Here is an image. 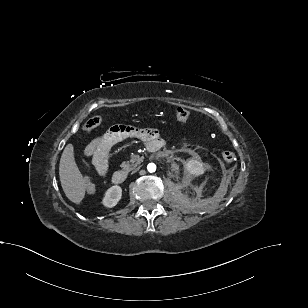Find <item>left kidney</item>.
I'll list each match as a JSON object with an SVG mask.
<instances>
[{
    "label": "left kidney",
    "instance_id": "obj_1",
    "mask_svg": "<svg viewBox=\"0 0 308 308\" xmlns=\"http://www.w3.org/2000/svg\"><path fill=\"white\" fill-rule=\"evenodd\" d=\"M184 168H185V171L191 176L197 177L204 173L203 164L200 161L195 160V159L189 160L185 164Z\"/></svg>",
    "mask_w": 308,
    "mask_h": 308
}]
</instances>
